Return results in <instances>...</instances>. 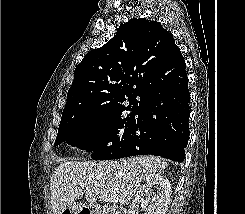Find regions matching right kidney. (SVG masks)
Returning <instances> with one entry per match:
<instances>
[{
    "label": "right kidney",
    "instance_id": "ca27d5eb",
    "mask_svg": "<svg viewBox=\"0 0 245 214\" xmlns=\"http://www.w3.org/2000/svg\"><path fill=\"white\" fill-rule=\"evenodd\" d=\"M156 189V192L152 190ZM171 185L168 179L159 173H152L146 177L145 183L138 189L129 209V214H138L139 205H146L150 202L147 214H166L168 209ZM152 193V201L146 196Z\"/></svg>",
    "mask_w": 245,
    "mask_h": 214
}]
</instances>
